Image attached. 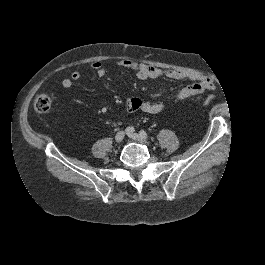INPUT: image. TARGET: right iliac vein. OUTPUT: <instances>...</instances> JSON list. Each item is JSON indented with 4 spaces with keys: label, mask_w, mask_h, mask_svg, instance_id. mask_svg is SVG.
<instances>
[{
    "label": "right iliac vein",
    "mask_w": 265,
    "mask_h": 265,
    "mask_svg": "<svg viewBox=\"0 0 265 265\" xmlns=\"http://www.w3.org/2000/svg\"><path fill=\"white\" fill-rule=\"evenodd\" d=\"M125 133L123 131H119L115 135V142L120 143L124 139Z\"/></svg>",
    "instance_id": "obj_1"
}]
</instances>
